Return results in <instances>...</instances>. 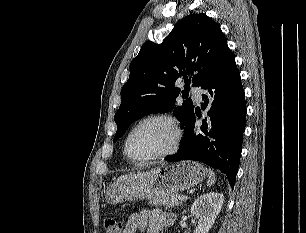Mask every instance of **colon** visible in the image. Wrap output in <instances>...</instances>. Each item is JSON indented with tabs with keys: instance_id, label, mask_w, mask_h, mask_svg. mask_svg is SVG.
<instances>
[{
	"instance_id": "5ec220e1",
	"label": "colon",
	"mask_w": 306,
	"mask_h": 233,
	"mask_svg": "<svg viewBox=\"0 0 306 233\" xmlns=\"http://www.w3.org/2000/svg\"><path fill=\"white\" fill-rule=\"evenodd\" d=\"M103 229L105 233H124L123 223L113 216L103 220Z\"/></svg>"
}]
</instances>
